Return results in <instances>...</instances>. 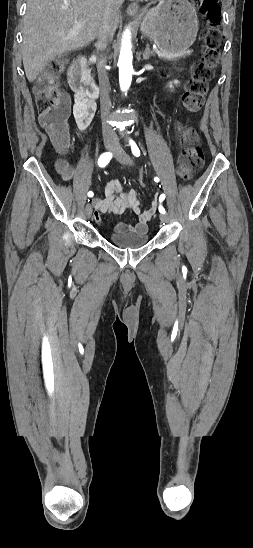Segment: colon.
<instances>
[{
	"label": "colon",
	"mask_w": 253,
	"mask_h": 548,
	"mask_svg": "<svg viewBox=\"0 0 253 548\" xmlns=\"http://www.w3.org/2000/svg\"><path fill=\"white\" fill-rule=\"evenodd\" d=\"M195 1L208 17V23L203 36L204 52L201 59L192 66L191 78L185 86L182 98V107L189 114L197 113L204 103L208 82L214 76L223 42L220 32L219 1ZM61 68L60 63H53L43 71L35 82L34 94L41 124L52 135L57 147L65 150L69 140L67 119L70 106L68 98L59 88L57 75ZM176 127L182 145L177 173L182 180L187 181L202 168L204 155L199 146L197 133L182 123H178ZM61 168L66 169L64 165ZM138 174V181L143 183L140 187L144 190L147 187L144 184L147 181L145 171L140 169Z\"/></svg>",
	"instance_id": "obj_1"
}]
</instances>
